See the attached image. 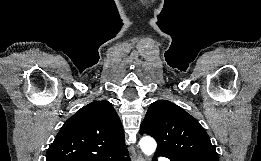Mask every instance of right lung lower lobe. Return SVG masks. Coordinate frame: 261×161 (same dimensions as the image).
Segmentation results:
<instances>
[{
  "instance_id": "1",
  "label": "right lung lower lobe",
  "mask_w": 261,
  "mask_h": 161,
  "mask_svg": "<svg viewBox=\"0 0 261 161\" xmlns=\"http://www.w3.org/2000/svg\"><path fill=\"white\" fill-rule=\"evenodd\" d=\"M127 153L128 151H123L111 156L104 157L98 161H131L129 157H124V155H126Z\"/></svg>"
}]
</instances>
